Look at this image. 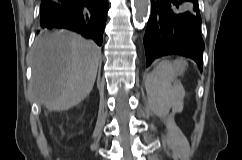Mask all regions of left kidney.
<instances>
[{
	"label": "left kidney",
	"instance_id": "5707ae66",
	"mask_svg": "<svg viewBox=\"0 0 242 160\" xmlns=\"http://www.w3.org/2000/svg\"><path fill=\"white\" fill-rule=\"evenodd\" d=\"M182 96H183V93L177 98L175 104L173 106H171L174 108L175 111H181L183 109ZM169 109H170V107L156 106L155 113L159 116L167 115L169 113Z\"/></svg>",
	"mask_w": 242,
	"mask_h": 160
}]
</instances>
